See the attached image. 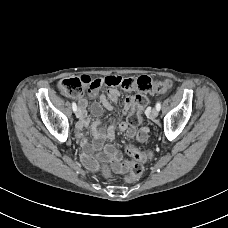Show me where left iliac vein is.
I'll return each mask as SVG.
<instances>
[{
	"mask_svg": "<svg viewBox=\"0 0 228 228\" xmlns=\"http://www.w3.org/2000/svg\"><path fill=\"white\" fill-rule=\"evenodd\" d=\"M159 111L156 108H153L151 111V117L156 118L158 116Z\"/></svg>",
	"mask_w": 228,
	"mask_h": 228,
	"instance_id": "left-iliac-vein-1",
	"label": "left iliac vein"
}]
</instances>
